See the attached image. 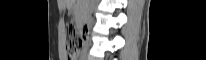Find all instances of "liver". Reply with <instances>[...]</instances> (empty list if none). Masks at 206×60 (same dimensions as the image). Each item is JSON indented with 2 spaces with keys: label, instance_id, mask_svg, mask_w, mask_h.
<instances>
[{
  "label": "liver",
  "instance_id": "1",
  "mask_svg": "<svg viewBox=\"0 0 206 60\" xmlns=\"http://www.w3.org/2000/svg\"><path fill=\"white\" fill-rule=\"evenodd\" d=\"M75 0H66L67 3H72L74 2Z\"/></svg>",
  "mask_w": 206,
  "mask_h": 60
}]
</instances>
